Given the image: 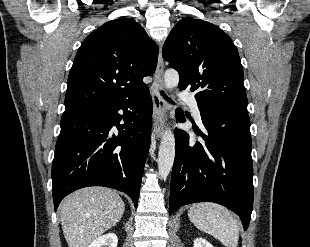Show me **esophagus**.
I'll return each mask as SVG.
<instances>
[{
	"label": "esophagus",
	"instance_id": "esophagus-1",
	"mask_svg": "<svg viewBox=\"0 0 310 247\" xmlns=\"http://www.w3.org/2000/svg\"><path fill=\"white\" fill-rule=\"evenodd\" d=\"M163 74H164V62L162 58V48L160 46L158 54V63L155 73L156 87L152 92V100L154 105L153 134L157 139H159L162 136L165 123V115L167 111L166 102L160 94V90H162L164 86Z\"/></svg>",
	"mask_w": 310,
	"mask_h": 247
}]
</instances>
